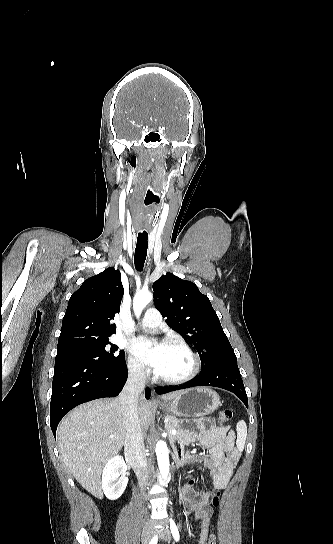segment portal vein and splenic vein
I'll return each mask as SVG.
<instances>
[{"instance_id":"portal-vein-and-splenic-vein-1","label":"portal vein and splenic vein","mask_w":333,"mask_h":544,"mask_svg":"<svg viewBox=\"0 0 333 544\" xmlns=\"http://www.w3.org/2000/svg\"><path fill=\"white\" fill-rule=\"evenodd\" d=\"M171 434L175 435V434H177V431H176V430H172V431H171ZM113 437H114V436L112 435L111 438H113Z\"/></svg>"}]
</instances>
